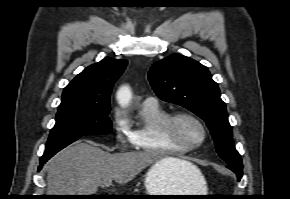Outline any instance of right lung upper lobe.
<instances>
[{
    "label": "right lung upper lobe",
    "instance_id": "right-lung-upper-lobe-1",
    "mask_svg": "<svg viewBox=\"0 0 290 199\" xmlns=\"http://www.w3.org/2000/svg\"><path fill=\"white\" fill-rule=\"evenodd\" d=\"M127 65L124 59L106 57L78 74L65 88L58 108L110 105V93Z\"/></svg>",
    "mask_w": 290,
    "mask_h": 199
}]
</instances>
